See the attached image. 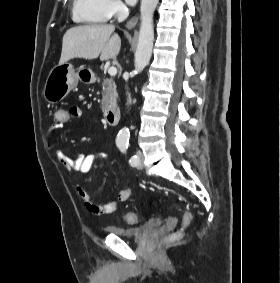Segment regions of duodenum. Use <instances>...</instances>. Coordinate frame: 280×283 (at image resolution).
I'll list each match as a JSON object with an SVG mask.
<instances>
[{"mask_svg":"<svg viewBox=\"0 0 280 283\" xmlns=\"http://www.w3.org/2000/svg\"><path fill=\"white\" fill-rule=\"evenodd\" d=\"M88 81H94V77H89ZM104 119L105 121L111 125H117L120 119V109L118 106H113L111 108H108L104 112Z\"/></svg>","mask_w":280,"mask_h":283,"instance_id":"obj_1","label":"duodenum"}]
</instances>
